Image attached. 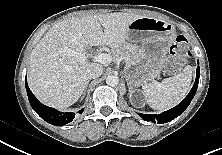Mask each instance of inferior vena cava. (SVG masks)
<instances>
[{
	"mask_svg": "<svg viewBox=\"0 0 222 155\" xmlns=\"http://www.w3.org/2000/svg\"><path fill=\"white\" fill-rule=\"evenodd\" d=\"M103 73V68L100 64L91 63L85 71V75L87 79H94L101 76Z\"/></svg>",
	"mask_w": 222,
	"mask_h": 155,
	"instance_id": "inferior-vena-cava-1",
	"label": "inferior vena cava"
}]
</instances>
